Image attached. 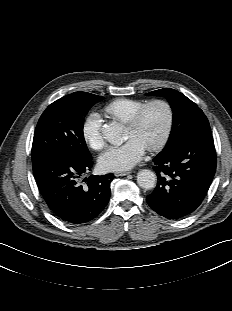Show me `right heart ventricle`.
I'll return each mask as SVG.
<instances>
[{
	"instance_id": "e07e8e85",
	"label": "right heart ventricle",
	"mask_w": 232,
	"mask_h": 311,
	"mask_svg": "<svg viewBox=\"0 0 232 311\" xmlns=\"http://www.w3.org/2000/svg\"><path fill=\"white\" fill-rule=\"evenodd\" d=\"M146 102L144 99L117 98L106 105L105 112L112 123L125 125Z\"/></svg>"
}]
</instances>
